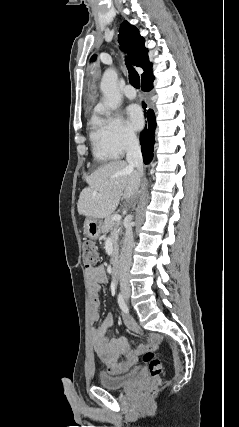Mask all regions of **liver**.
Instances as JSON below:
<instances>
[{
	"label": "liver",
	"instance_id": "obj_1",
	"mask_svg": "<svg viewBox=\"0 0 239 427\" xmlns=\"http://www.w3.org/2000/svg\"><path fill=\"white\" fill-rule=\"evenodd\" d=\"M141 176L123 160L100 166L86 177L88 187L80 193L78 213L96 219L110 217L121 198L130 199L137 194Z\"/></svg>",
	"mask_w": 239,
	"mask_h": 427
}]
</instances>
